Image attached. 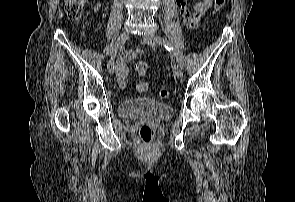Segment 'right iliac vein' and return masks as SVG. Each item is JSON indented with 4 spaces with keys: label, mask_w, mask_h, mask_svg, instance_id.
Returning <instances> with one entry per match:
<instances>
[{
    "label": "right iliac vein",
    "mask_w": 295,
    "mask_h": 202,
    "mask_svg": "<svg viewBox=\"0 0 295 202\" xmlns=\"http://www.w3.org/2000/svg\"><path fill=\"white\" fill-rule=\"evenodd\" d=\"M129 36H130V33L128 30L124 31L123 33H121L119 35V37L114 45V48H113V51L111 54V58H110L108 65H107V69L110 74H113L115 71L114 58H115L116 54L119 52V50L121 49L122 45L129 39Z\"/></svg>",
    "instance_id": "1"
}]
</instances>
